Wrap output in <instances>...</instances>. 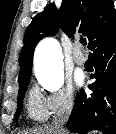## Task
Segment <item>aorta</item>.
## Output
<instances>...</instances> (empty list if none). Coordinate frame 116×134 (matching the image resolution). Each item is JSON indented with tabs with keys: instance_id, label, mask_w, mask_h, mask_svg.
<instances>
[{
	"instance_id": "1",
	"label": "aorta",
	"mask_w": 116,
	"mask_h": 134,
	"mask_svg": "<svg viewBox=\"0 0 116 134\" xmlns=\"http://www.w3.org/2000/svg\"><path fill=\"white\" fill-rule=\"evenodd\" d=\"M34 69L39 83L49 91H57L64 84L63 56L54 38L39 42L34 54Z\"/></svg>"
}]
</instances>
